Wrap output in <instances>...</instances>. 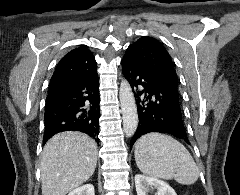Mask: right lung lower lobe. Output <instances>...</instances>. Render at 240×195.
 Here are the masks:
<instances>
[{
    "mask_svg": "<svg viewBox=\"0 0 240 195\" xmlns=\"http://www.w3.org/2000/svg\"><path fill=\"white\" fill-rule=\"evenodd\" d=\"M99 78L97 72L76 82L49 86L44 114V144L62 131H80L99 142Z\"/></svg>",
    "mask_w": 240,
    "mask_h": 195,
    "instance_id": "98d812e1",
    "label": "right lung lower lobe"
}]
</instances>
